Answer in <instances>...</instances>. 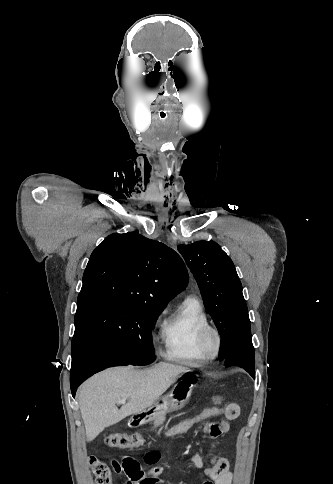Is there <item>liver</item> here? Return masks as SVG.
Wrapping results in <instances>:
<instances>
[{
  "instance_id": "liver-1",
  "label": "liver",
  "mask_w": 333,
  "mask_h": 484,
  "mask_svg": "<svg viewBox=\"0 0 333 484\" xmlns=\"http://www.w3.org/2000/svg\"><path fill=\"white\" fill-rule=\"evenodd\" d=\"M184 366L159 362L150 368L135 366L106 369L79 388L78 401L86 435L93 440L106 427L151 407L181 374ZM120 399H128L121 409Z\"/></svg>"
}]
</instances>
